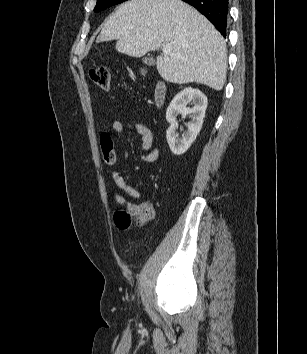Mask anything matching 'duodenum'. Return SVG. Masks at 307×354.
Here are the masks:
<instances>
[{
    "instance_id": "410a0bca",
    "label": "duodenum",
    "mask_w": 307,
    "mask_h": 354,
    "mask_svg": "<svg viewBox=\"0 0 307 354\" xmlns=\"http://www.w3.org/2000/svg\"><path fill=\"white\" fill-rule=\"evenodd\" d=\"M165 93H166L165 86L162 83L158 84L154 93V101L157 105L162 104V102L165 99Z\"/></svg>"
}]
</instances>
